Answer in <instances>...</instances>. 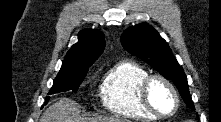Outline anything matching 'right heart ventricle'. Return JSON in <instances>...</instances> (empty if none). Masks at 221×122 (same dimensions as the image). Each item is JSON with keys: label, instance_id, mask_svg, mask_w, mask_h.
I'll return each mask as SVG.
<instances>
[{"label": "right heart ventricle", "instance_id": "e07e8e85", "mask_svg": "<svg viewBox=\"0 0 221 122\" xmlns=\"http://www.w3.org/2000/svg\"><path fill=\"white\" fill-rule=\"evenodd\" d=\"M149 75L141 65L121 61L104 76L101 84V99L104 107L114 115L140 120H154L156 116L143 106L139 87Z\"/></svg>", "mask_w": 221, "mask_h": 122}]
</instances>
